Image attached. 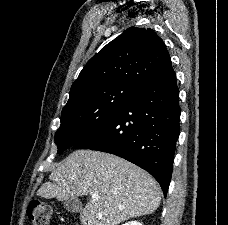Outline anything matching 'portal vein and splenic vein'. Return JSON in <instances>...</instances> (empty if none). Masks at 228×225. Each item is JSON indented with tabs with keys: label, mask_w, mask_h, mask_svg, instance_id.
I'll return each mask as SVG.
<instances>
[{
	"label": "portal vein and splenic vein",
	"mask_w": 228,
	"mask_h": 225,
	"mask_svg": "<svg viewBox=\"0 0 228 225\" xmlns=\"http://www.w3.org/2000/svg\"><path fill=\"white\" fill-rule=\"evenodd\" d=\"M92 199H98V195H91Z\"/></svg>",
	"instance_id": "18ae733b"
}]
</instances>
